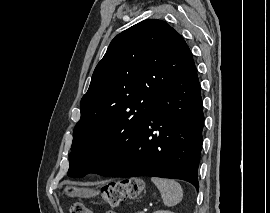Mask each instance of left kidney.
I'll return each instance as SVG.
<instances>
[{
	"mask_svg": "<svg viewBox=\"0 0 270 213\" xmlns=\"http://www.w3.org/2000/svg\"><path fill=\"white\" fill-rule=\"evenodd\" d=\"M154 213H174V212L162 210V211H156V212H154Z\"/></svg>",
	"mask_w": 270,
	"mask_h": 213,
	"instance_id": "5707ae66",
	"label": "left kidney"
}]
</instances>
